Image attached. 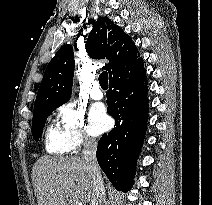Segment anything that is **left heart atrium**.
<instances>
[{"label":"left heart atrium","mask_w":212,"mask_h":205,"mask_svg":"<svg viewBox=\"0 0 212 205\" xmlns=\"http://www.w3.org/2000/svg\"><path fill=\"white\" fill-rule=\"evenodd\" d=\"M90 130L92 134L98 135L106 131L110 126V118L106 109L101 104L94 105L89 113Z\"/></svg>","instance_id":"39dd6f15"}]
</instances>
